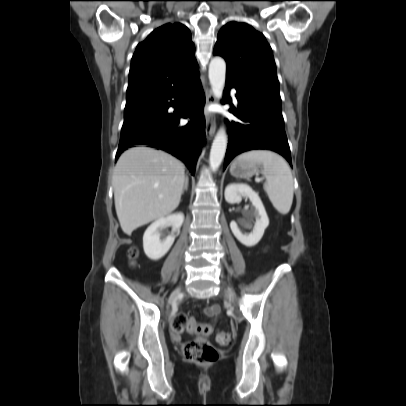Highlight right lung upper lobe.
I'll list each match as a JSON object with an SVG mask.
<instances>
[{
  "label": "right lung upper lobe",
  "instance_id": "obj_1",
  "mask_svg": "<svg viewBox=\"0 0 406 406\" xmlns=\"http://www.w3.org/2000/svg\"><path fill=\"white\" fill-rule=\"evenodd\" d=\"M189 29L167 23L138 44L133 54L126 106L160 99L199 75Z\"/></svg>",
  "mask_w": 406,
  "mask_h": 406
}]
</instances>
